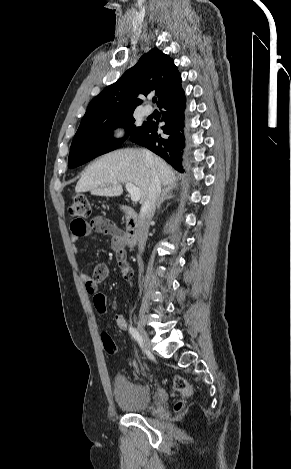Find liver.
<instances>
[{"instance_id":"6515ba94","label":"liver","mask_w":291,"mask_h":469,"mask_svg":"<svg viewBox=\"0 0 291 469\" xmlns=\"http://www.w3.org/2000/svg\"><path fill=\"white\" fill-rule=\"evenodd\" d=\"M154 172L164 186L174 185L172 168L159 156L152 155ZM154 176L151 166L137 149H120L103 155L92 163L78 181L75 191L114 197L123 193L122 184L132 183L140 190V203L146 200Z\"/></svg>"}]
</instances>
